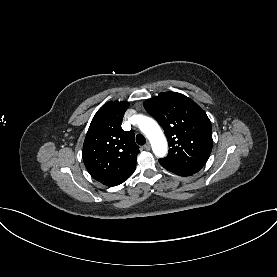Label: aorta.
<instances>
[{"label":"aorta","mask_w":277,"mask_h":277,"mask_svg":"<svg viewBox=\"0 0 277 277\" xmlns=\"http://www.w3.org/2000/svg\"><path fill=\"white\" fill-rule=\"evenodd\" d=\"M140 130L149 139L154 154L164 157L167 153V141L159 125L152 119L143 115L136 116Z\"/></svg>","instance_id":"obj_1"}]
</instances>
